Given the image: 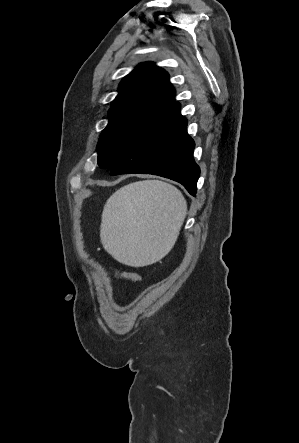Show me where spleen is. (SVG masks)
Wrapping results in <instances>:
<instances>
[{"label":"spleen","instance_id":"obj_1","mask_svg":"<svg viewBox=\"0 0 299 443\" xmlns=\"http://www.w3.org/2000/svg\"><path fill=\"white\" fill-rule=\"evenodd\" d=\"M186 214V200L176 187L158 180L129 184L104 206L102 245L123 264H152L172 249Z\"/></svg>","mask_w":299,"mask_h":443}]
</instances>
